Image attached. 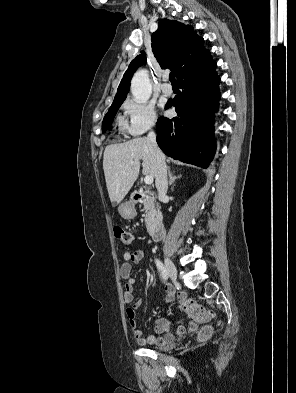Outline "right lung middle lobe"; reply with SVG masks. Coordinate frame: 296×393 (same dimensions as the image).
<instances>
[{
  "instance_id": "1",
  "label": "right lung middle lobe",
  "mask_w": 296,
  "mask_h": 393,
  "mask_svg": "<svg viewBox=\"0 0 296 393\" xmlns=\"http://www.w3.org/2000/svg\"><path fill=\"white\" fill-rule=\"evenodd\" d=\"M124 99L113 101L108 113L105 115L102 123V133H104L111 125L114 116L116 115L117 110L123 103Z\"/></svg>"
}]
</instances>
